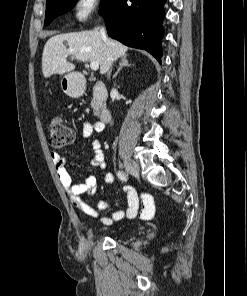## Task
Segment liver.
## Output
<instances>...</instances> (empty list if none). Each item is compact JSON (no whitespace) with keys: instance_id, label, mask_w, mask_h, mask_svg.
Returning <instances> with one entry per match:
<instances>
[{"instance_id":"1","label":"liver","mask_w":247,"mask_h":296,"mask_svg":"<svg viewBox=\"0 0 247 296\" xmlns=\"http://www.w3.org/2000/svg\"><path fill=\"white\" fill-rule=\"evenodd\" d=\"M67 41V46L64 45ZM127 47L119 41L102 36L97 30L59 34L50 37L42 53V73L44 77L64 74L75 69L67 61L73 55L79 61L98 62L100 74H105L112 62L126 54Z\"/></svg>"}]
</instances>
